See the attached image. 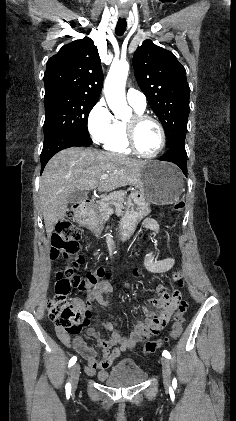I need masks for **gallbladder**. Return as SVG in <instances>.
<instances>
[{"mask_svg":"<svg viewBox=\"0 0 236 421\" xmlns=\"http://www.w3.org/2000/svg\"><path fill=\"white\" fill-rule=\"evenodd\" d=\"M86 198V192H81V190H74V192H70L68 196V202H80V200H84Z\"/></svg>","mask_w":236,"mask_h":421,"instance_id":"bac80fb5","label":"gallbladder"}]
</instances>
